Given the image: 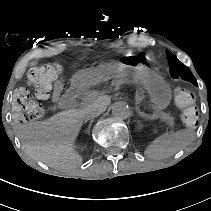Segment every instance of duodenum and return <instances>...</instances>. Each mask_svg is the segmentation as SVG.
<instances>
[{
	"label": "duodenum",
	"mask_w": 211,
	"mask_h": 211,
	"mask_svg": "<svg viewBox=\"0 0 211 211\" xmlns=\"http://www.w3.org/2000/svg\"><path fill=\"white\" fill-rule=\"evenodd\" d=\"M82 91V84L79 82L73 83L67 92L59 99L58 104L61 108H69L77 99Z\"/></svg>",
	"instance_id": "duodenum-1"
}]
</instances>
